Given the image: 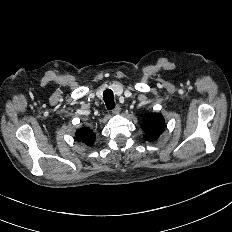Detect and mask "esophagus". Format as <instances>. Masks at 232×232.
Instances as JSON below:
<instances>
[{"mask_svg": "<svg viewBox=\"0 0 232 232\" xmlns=\"http://www.w3.org/2000/svg\"><path fill=\"white\" fill-rule=\"evenodd\" d=\"M121 108L120 106L117 104L113 109H112V113L113 114H119Z\"/></svg>", "mask_w": 232, "mask_h": 232, "instance_id": "1", "label": "esophagus"}]
</instances>
